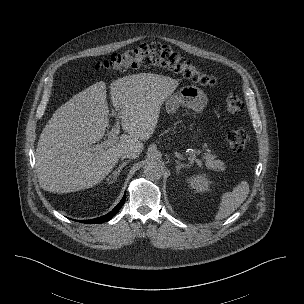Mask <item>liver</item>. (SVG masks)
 <instances>
[{
    "label": "liver",
    "instance_id": "1",
    "mask_svg": "<svg viewBox=\"0 0 304 304\" xmlns=\"http://www.w3.org/2000/svg\"><path fill=\"white\" fill-rule=\"evenodd\" d=\"M179 82L139 73L113 81L110 99L118 111L122 134L115 144L95 150L109 126L106 85L97 82L60 106L45 125L36 149L40 187L52 193L75 192L98 184L118 163L121 154L143 150L158 123L162 104Z\"/></svg>",
    "mask_w": 304,
    "mask_h": 304
}]
</instances>
